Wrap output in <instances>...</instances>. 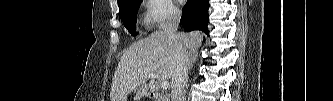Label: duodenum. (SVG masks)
Segmentation results:
<instances>
[{
  "label": "duodenum",
  "mask_w": 333,
  "mask_h": 101,
  "mask_svg": "<svg viewBox=\"0 0 333 101\" xmlns=\"http://www.w3.org/2000/svg\"><path fill=\"white\" fill-rule=\"evenodd\" d=\"M149 97L154 101H161V96L158 93H151Z\"/></svg>",
  "instance_id": "1"
}]
</instances>
